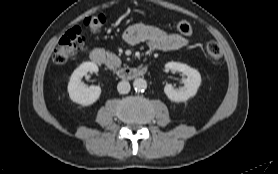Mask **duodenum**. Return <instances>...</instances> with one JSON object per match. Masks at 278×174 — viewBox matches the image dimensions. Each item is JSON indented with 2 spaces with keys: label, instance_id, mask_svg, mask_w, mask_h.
Returning <instances> with one entry per match:
<instances>
[{
  "label": "duodenum",
  "instance_id": "1",
  "mask_svg": "<svg viewBox=\"0 0 278 174\" xmlns=\"http://www.w3.org/2000/svg\"><path fill=\"white\" fill-rule=\"evenodd\" d=\"M90 60L96 64H102L105 55L100 49H92L89 53ZM146 73V67H122L118 70V76L122 79H136L142 77Z\"/></svg>",
  "mask_w": 278,
  "mask_h": 174
}]
</instances>
